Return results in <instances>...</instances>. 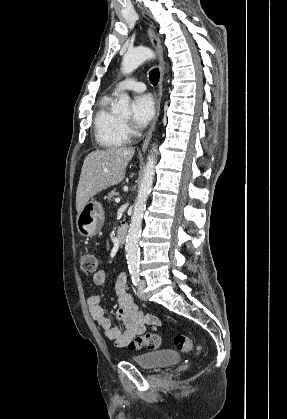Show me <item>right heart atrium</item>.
<instances>
[{"instance_id":"obj_1","label":"right heart atrium","mask_w":287,"mask_h":419,"mask_svg":"<svg viewBox=\"0 0 287 419\" xmlns=\"http://www.w3.org/2000/svg\"><path fill=\"white\" fill-rule=\"evenodd\" d=\"M123 130H124V132L127 136L131 135V133H132L129 125L126 122H123Z\"/></svg>"}]
</instances>
